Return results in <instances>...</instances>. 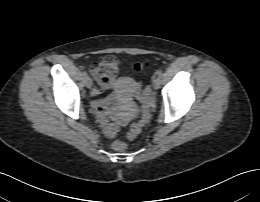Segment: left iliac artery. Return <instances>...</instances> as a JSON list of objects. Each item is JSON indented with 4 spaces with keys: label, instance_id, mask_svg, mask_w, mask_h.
<instances>
[{
    "label": "left iliac artery",
    "instance_id": "obj_1",
    "mask_svg": "<svg viewBox=\"0 0 260 202\" xmlns=\"http://www.w3.org/2000/svg\"><path fill=\"white\" fill-rule=\"evenodd\" d=\"M158 76L161 78L163 76L162 72H158Z\"/></svg>",
    "mask_w": 260,
    "mask_h": 202
}]
</instances>
